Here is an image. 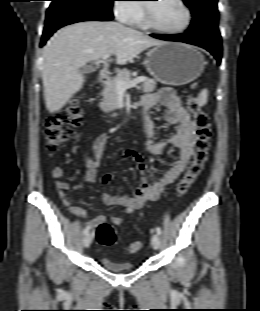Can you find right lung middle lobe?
<instances>
[{
    "label": "right lung middle lobe",
    "mask_w": 260,
    "mask_h": 311,
    "mask_svg": "<svg viewBox=\"0 0 260 311\" xmlns=\"http://www.w3.org/2000/svg\"><path fill=\"white\" fill-rule=\"evenodd\" d=\"M113 1L114 0H52V4H56L57 2H69L96 12L112 15L111 7Z\"/></svg>",
    "instance_id": "1"
}]
</instances>
